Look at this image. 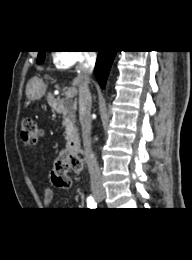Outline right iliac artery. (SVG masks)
<instances>
[{"label":"right iliac artery","instance_id":"right-iliac-artery-1","mask_svg":"<svg viewBox=\"0 0 192 260\" xmlns=\"http://www.w3.org/2000/svg\"><path fill=\"white\" fill-rule=\"evenodd\" d=\"M86 202H87V206L91 209L96 208L97 206V203L92 196L87 197Z\"/></svg>","mask_w":192,"mask_h":260}]
</instances>
